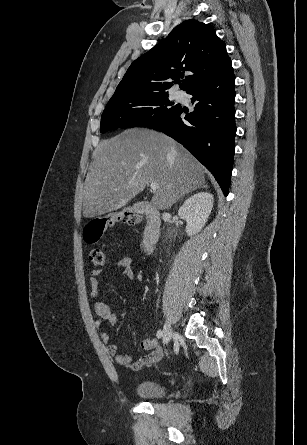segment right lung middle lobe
I'll return each mask as SVG.
<instances>
[{
	"label": "right lung middle lobe",
	"mask_w": 307,
	"mask_h": 445,
	"mask_svg": "<svg viewBox=\"0 0 307 445\" xmlns=\"http://www.w3.org/2000/svg\"><path fill=\"white\" fill-rule=\"evenodd\" d=\"M179 107L169 101L166 93L111 98L101 116L100 132L123 127H147Z\"/></svg>",
	"instance_id": "dd1d6c3e"
}]
</instances>
